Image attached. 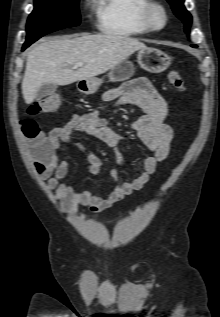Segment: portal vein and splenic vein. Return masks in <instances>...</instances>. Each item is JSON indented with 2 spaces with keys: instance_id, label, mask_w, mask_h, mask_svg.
<instances>
[{
  "instance_id": "1",
  "label": "portal vein and splenic vein",
  "mask_w": 220,
  "mask_h": 317,
  "mask_svg": "<svg viewBox=\"0 0 220 317\" xmlns=\"http://www.w3.org/2000/svg\"><path fill=\"white\" fill-rule=\"evenodd\" d=\"M84 64L82 62H79L77 64L74 65V68H79L82 67Z\"/></svg>"
}]
</instances>
